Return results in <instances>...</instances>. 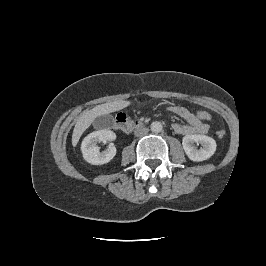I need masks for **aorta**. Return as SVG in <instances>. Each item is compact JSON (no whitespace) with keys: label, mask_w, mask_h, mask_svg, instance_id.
<instances>
[{"label":"aorta","mask_w":266,"mask_h":266,"mask_svg":"<svg viewBox=\"0 0 266 266\" xmlns=\"http://www.w3.org/2000/svg\"><path fill=\"white\" fill-rule=\"evenodd\" d=\"M150 128H151V131L152 132H155V133H159L162 131L163 129V126L160 122L158 121H155L153 122L151 125H150Z\"/></svg>","instance_id":"1"}]
</instances>
